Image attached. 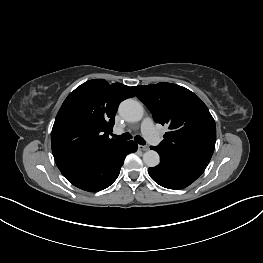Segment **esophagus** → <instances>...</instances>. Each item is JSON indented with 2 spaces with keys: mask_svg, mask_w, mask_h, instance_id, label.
Returning a JSON list of instances; mask_svg holds the SVG:
<instances>
[{
  "mask_svg": "<svg viewBox=\"0 0 263 263\" xmlns=\"http://www.w3.org/2000/svg\"><path fill=\"white\" fill-rule=\"evenodd\" d=\"M138 150L147 151V150H149V148L147 146H144V145H138Z\"/></svg>",
  "mask_w": 263,
  "mask_h": 263,
  "instance_id": "esophagus-1",
  "label": "esophagus"
}]
</instances>
